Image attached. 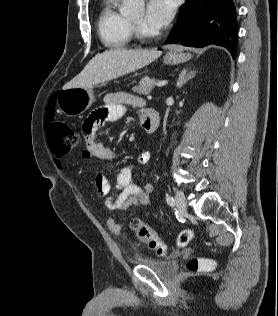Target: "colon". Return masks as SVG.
Instances as JSON below:
<instances>
[{"instance_id": "5ec220e1", "label": "colon", "mask_w": 278, "mask_h": 316, "mask_svg": "<svg viewBox=\"0 0 278 316\" xmlns=\"http://www.w3.org/2000/svg\"><path fill=\"white\" fill-rule=\"evenodd\" d=\"M48 140L51 151L57 157L65 156L76 150L81 144V137L78 132L63 122H54L49 125ZM131 228L136 236L146 243L159 256L167 252L165 243L159 238L155 231L139 218L131 220ZM193 237L189 229L180 232L177 243L185 246ZM187 269L191 272L208 271L215 267L214 261L206 258H192L187 262Z\"/></svg>"}]
</instances>
